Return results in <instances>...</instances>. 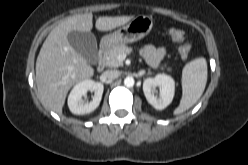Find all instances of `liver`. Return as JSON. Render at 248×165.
<instances>
[{
    "label": "liver",
    "mask_w": 248,
    "mask_h": 165,
    "mask_svg": "<svg viewBox=\"0 0 248 165\" xmlns=\"http://www.w3.org/2000/svg\"><path fill=\"white\" fill-rule=\"evenodd\" d=\"M133 16L99 17L96 28L110 31L128 23ZM92 13L78 14L62 20L51 30L36 60V85L45 108L61 113L70 88L77 82L90 78L93 68L77 53L68 41L71 31L90 32Z\"/></svg>",
    "instance_id": "liver-1"
}]
</instances>
